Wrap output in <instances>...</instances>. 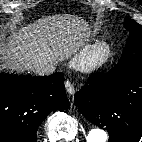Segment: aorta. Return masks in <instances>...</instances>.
<instances>
[{"mask_svg": "<svg viewBox=\"0 0 142 142\" xmlns=\"http://www.w3.org/2000/svg\"><path fill=\"white\" fill-rule=\"evenodd\" d=\"M107 133L100 128H93L87 135V142H106Z\"/></svg>", "mask_w": 142, "mask_h": 142, "instance_id": "1", "label": "aorta"}]
</instances>
